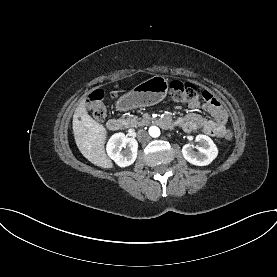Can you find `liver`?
I'll use <instances>...</instances> for the list:
<instances>
[{
    "instance_id": "1",
    "label": "liver",
    "mask_w": 277,
    "mask_h": 277,
    "mask_svg": "<svg viewBox=\"0 0 277 277\" xmlns=\"http://www.w3.org/2000/svg\"><path fill=\"white\" fill-rule=\"evenodd\" d=\"M73 133L79 151L88 161L105 169L113 167L105 152L106 129L88 114L85 100H82L75 109Z\"/></svg>"
}]
</instances>
